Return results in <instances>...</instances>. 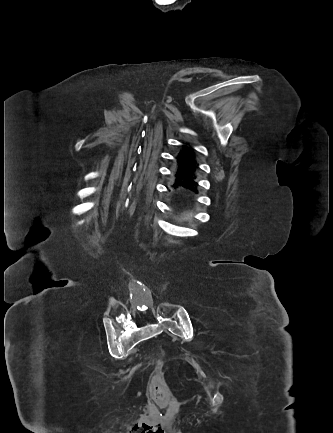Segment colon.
I'll return each mask as SVG.
<instances>
[{
  "label": "colon",
  "instance_id": "obj_1",
  "mask_svg": "<svg viewBox=\"0 0 333 433\" xmlns=\"http://www.w3.org/2000/svg\"><path fill=\"white\" fill-rule=\"evenodd\" d=\"M151 395L159 405H167L171 398L170 386L161 372H157L150 382Z\"/></svg>",
  "mask_w": 333,
  "mask_h": 433
}]
</instances>
